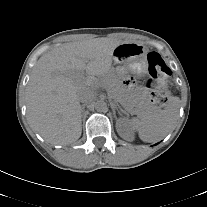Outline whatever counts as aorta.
Masks as SVG:
<instances>
[{
  "label": "aorta",
  "mask_w": 207,
  "mask_h": 207,
  "mask_svg": "<svg viewBox=\"0 0 207 207\" xmlns=\"http://www.w3.org/2000/svg\"><path fill=\"white\" fill-rule=\"evenodd\" d=\"M95 109L99 112H106L108 109L107 103L104 100H98L95 103Z\"/></svg>",
  "instance_id": "aorta-1"
}]
</instances>
